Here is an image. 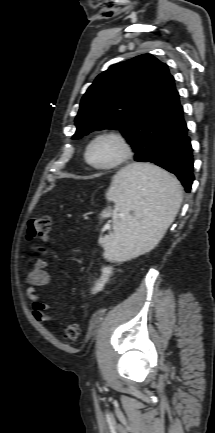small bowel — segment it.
Instances as JSON below:
<instances>
[{
    "label": "small bowel",
    "mask_w": 215,
    "mask_h": 433,
    "mask_svg": "<svg viewBox=\"0 0 215 433\" xmlns=\"http://www.w3.org/2000/svg\"><path fill=\"white\" fill-rule=\"evenodd\" d=\"M48 268L49 263L44 259L38 258L33 262L32 269L27 275L29 287L26 290V294L31 301L36 320L41 323H49L52 319L48 313L49 306L41 300L37 293L38 287H44L51 283L52 276Z\"/></svg>",
    "instance_id": "1"
}]
</instances>
